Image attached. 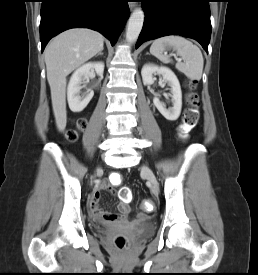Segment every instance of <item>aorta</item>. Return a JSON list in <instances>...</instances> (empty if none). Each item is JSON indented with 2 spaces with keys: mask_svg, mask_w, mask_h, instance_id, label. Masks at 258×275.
<instances>
[{
  "mask_svg": "<svg viewBox=\"0 0 258 275\" xmlns=\"http://www.w3.org/2000/svg\"><path fill=\"white\" fill-rule=\"evenodd\" d=\"M144 12L141 8H137L131 14L127 29H126V40L133 43L137 40L144 22Z\"/></svg>",
  "mask_w": 258,
  "mask_h": 275,
  "instance_id": "762f6f07",
  "label": "aorta"
}]
</instances>
